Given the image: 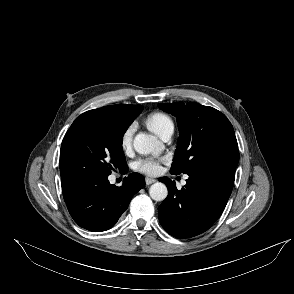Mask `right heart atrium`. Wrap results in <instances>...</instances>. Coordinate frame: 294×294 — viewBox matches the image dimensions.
Listing matches in <instances>:
<instances>
[{"mask_svg": "<svg viewBox=\"0 0 294 294\" xmlns=\"http://www.w3.org/2000/svg\"><path fill=\"white\" fill-rule=\"evenodd\" d=\"M134 131H135V125L131 124L123 132L121 136V147L124 151H127L130 149L132 145V138H133Z\"/></svg>", "mask_w": 294, "mask_h": 294, "instance_id": "obj_1", "label": "right heart atrium"}]
</instances>
